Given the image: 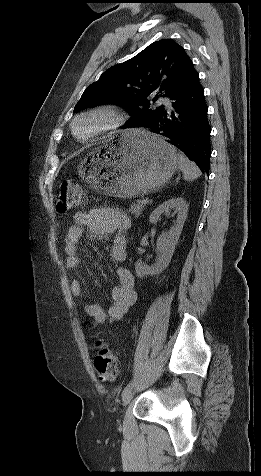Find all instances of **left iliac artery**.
Instances as JSON below:
<instances>
[{
	"instance_id": "44dca946",
	"label": "left iliac artery",
	"mask_w": 261,
	"mask_h": 476,
	"mask_svg": "<svg viewBox=\"0 0 261 476\" xmlns=\"http://www.w3.org/2000/svg\"><path fill=\"white\" fill-rule=\"evenodd\" d=\"M132 385H133V384H132V381H130V382L126 385V387L124 388L123 393L126 392L127 390H129V389L132 387Z\"/></svg>"
}]
</instances>
